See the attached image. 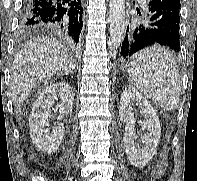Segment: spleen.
<instances>
[{
	"label": "spleen",
	"mask_w": 197,
	"mask_h": 181,
	"mask_svg": "<svg viewBox=\"0 0 197 181\" xmlns=\"http://www.w3.org/2000/svg\"><path fill=\"white\" fill-rule=\"evenodd\" d=\"M128 73L133 85L157 105L178 108L180 80L176 61L162 46L148 47L132 56Z\"/></svg>",
	"instance_id": "obj_1"
}]
</instances>
